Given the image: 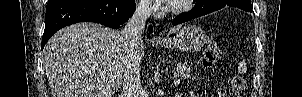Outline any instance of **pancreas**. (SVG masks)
<instances>
[{
  "instance_id": "obj_1",
  "label": "pancreas",
  "mask_w": 302,
  "mask_h": 97,
  "mask_svg": "<svg viewBox=\"0 0 302 97\" xmlns=\"http://www.w3.org/2000/svg\"><path fill=\"white\" fill-rule=\"evenodd\" d=\"M176 70L178 76L188 77L190 75L191 67L186 63H178Z\"/></svg>"
}]
</instances>
